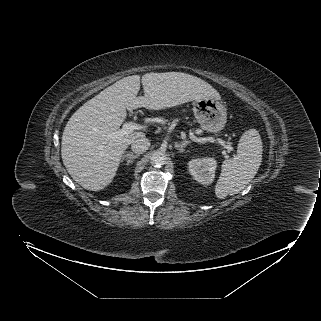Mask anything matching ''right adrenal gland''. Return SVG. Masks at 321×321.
Listing matches in <instances>:
<instances>
[{
	"instance_id": "right-adrenal-gland-1",
	"label": "right adrenal gland",
	"mask_w": 321,
	"mask_h": 321,
	"mask_svg": "<svg viewBox=\"0 0 321 321\" xmlns=\"http://www.w3.org/2000/svg\"><path fill=\"white\" fill-rule=\"evenodd\" d=\"M139 154L134 155L133 153H128L122 156L121 161L127 159V165L133 162L134 159L138 158Z\"/></svg>"
}]
</instances>
